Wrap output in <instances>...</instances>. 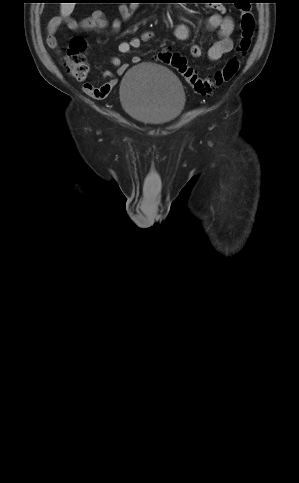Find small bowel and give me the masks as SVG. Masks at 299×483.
<instances>
[{
  "mask_svg": "<svg viewBox=\"0 0 299 483\" xmlns=\"http://www.w3.org/2000/svg\"><path fill=\"white\" fill-rule=\"evenodd\" d=\"M215 10L216 11L210 14L207 19V26L210 29L217 31V40L210 46L207 52V57L212 62L220 60L225 54L230 53L233 49V41L231 39L234 30L233 20L229 16H224L226 8L223 5L216 6ZM119 11L124 20L129 19L132 15V10L125 5L120 6ZM64 21L66 22L67 27L73 31L95 30L116 34L122 28V21L120 19H114L109 23L101 10H96L89 17L79 20L73 18L64 20L61 17H54L49 22L48 35L46 38L48 46L53 50H58L59 48L56 33L59 26ZM174 36L179 41H186L190 36L189 27L182 23L178 24L174 28ZM154 37V31H144L138 37L121 41L118 45V51L121 54H127L132 49L139 47L141 43L151 41ZM189 51L190 55L194 58H200L203 55L201 47L197 44H192ZM110 62L114 67L118 68L119 75L124 74L129 67V64L123 63L119 57H113ZM139 62V57L134 56L131 58L132 64H137ZM103 75L104 77L109 78V80L100 86H95L92 83L84 84V91L86 94L98 100L105 99L109 95L115 86L117 79L110 71H105Z\"/></svg>",
  "mask_w": 299,
  "mask_h": 483,
  "instance_id": "small-bowel-1",
  "label": "small bowel"
}]
</instances>
